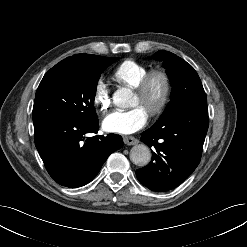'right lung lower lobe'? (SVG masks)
Segmentation results:
<instances>
[{
	"mask_svg": "<svg viewBox=\"0 0 247 247\" xmlns=\"http://www.w3.org/2000/svg\"><path fill=\"white\" fill-rule=\"evenodd\" d=\"M98 119L75 116L34 122L36 148L50 176L76 188L92 181L110 154L123 146L120 135L86 136L98 132Z\"/></svg>",
	"mask_w": 247,
	"mask_h": 247,
	"instance_id": "obj_1",
	"label": "right lung lower lobe"
}]
</instances>
